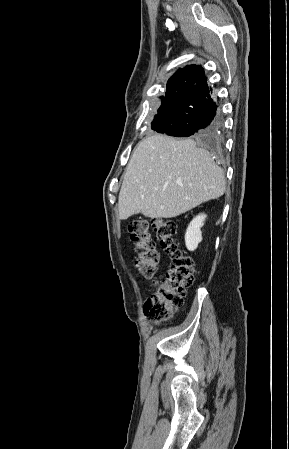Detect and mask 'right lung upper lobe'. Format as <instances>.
Listing matches in <instances>:
<instances>
[{"label": "right lung upper lobe", "mask_w": 289, "mask_h": 449, "mask_svg": "<svg viewBox=\"0 0 289 449\" xmlns=\"http://www.w3.org/2000/svg\"><path fill=\"white\" fill-rule=\"evenodd\" d=\"M184 76L190 77V78H198V79L205 78L206 79L204 70L201 66L188 65V66L184 67L183 69H179L171 77V79L167 83V90H168V87L170 86V84H172L174 81H176L177 79L184 77ZM166 93H167V91H166Z\"/></svg>", "instance_id": "cb5924a9"}]
</instances>
